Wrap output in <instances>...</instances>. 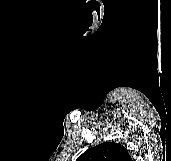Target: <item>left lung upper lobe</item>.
<instances>
[{"label":"left lung upper lobe","instance_id":"1","mask_svg":"<svg viewBox=\"0 0 171 161\" xmlns=\"http://www.w3.org/2000/svg\"><path fill=\"white\" fill-rule=\"evenodd\" d=\"M76 161H132V158L121 144L104 142L88 149Z\"/></svg>","mask_w":171,"mask_h":161}]
</instances>
